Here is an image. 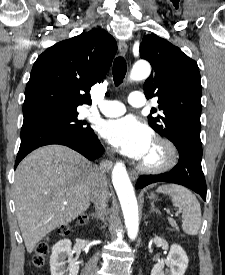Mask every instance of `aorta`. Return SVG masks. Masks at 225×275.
Segmentation results:
<instances>
[{
  "label": "aorta",
  "instance_id": "aorta-1",
  "mask_svg": "<svg viewBox=\"0 0 225 275\" xmlns=\"http://www.w3.org/2000/svg\"><path fill=\"white\" fill-rule=\"evenodd\" d=\"M150 72V65L145 61H139L133 66L130 79L143 80ZM112 183L121 204L128 236L134 240L139 229L138 204L126 167L121 161L116 162L113 167Z\"/></svg>",
  "mask_w": 225,
  "mask_h": 275
}]
</instances>
